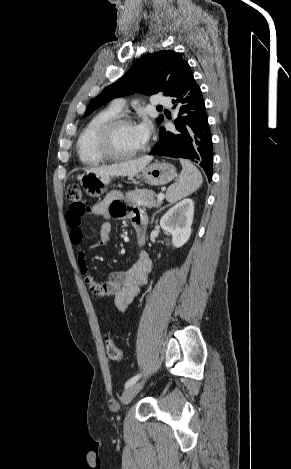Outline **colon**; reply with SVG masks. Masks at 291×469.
<instances>
[{"label": "colon", "mask_w": 291, "mask_h": 469, "mask_svg": "<svg viewBox=\"0 0 291 469\" xmlns=\"http://www.w3.org/2000/svg\"><path fill=\"white\" fill-rule=\"evenodd\" d=\"M67 199L71 203V207L78 213L87 215L90 210L82 204V191L79 185L71 184L67 189ZM106 352L111 360L119 361L122 358V352L116 345L110 335H106Z\"/></svg>", "instance_id": "obj_1"}]
</instances>
